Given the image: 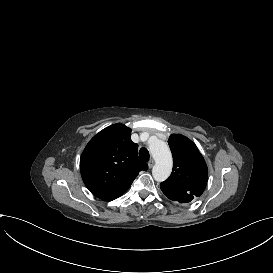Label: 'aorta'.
<instances>
[{"label":"aorta","mask_w":273,"mask_h":273,"mask_svg":"<svg viewBox=\"0 0 273 273\" xmlns=\"http://www.w3.org/2000/svg\"><path fill=\"white\" fill-rule=\"evenodd\" d=\"M149 149L155 160L152 175L156 181L162 182L170 176L172 171L173 160L171 151L168 145L161 140L152 141L149 144Z\"/></svg>","instance_id":"762f6f07"}]
</instances>
